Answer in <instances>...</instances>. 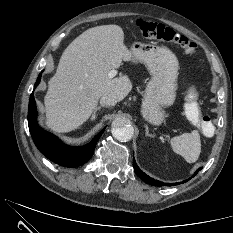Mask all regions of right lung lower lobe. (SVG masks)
<instances>
[{
    "mask_svg": "<svg viewBox=\"0 0 233 233\" xmlns=\"http://www.w3.org/2000/svg\"><path fill=\"white\" fill-rule=\"evenodd\" d=\"M41 73L37 78L34 88L39 84ZM28 125L33 141L40 152L49 160L64 166L77 167L86 163L93 155L95 145L105 128L82 147H71L63 144L56 136L44 131L37 123V110L33 93L30 96L28 109Z\"/></svg>",
    "mask_w": 233,
    "mask_h": 233,
    "instance_id": "1",
    "label": "right lung lower lobe"
}]
</instances>
